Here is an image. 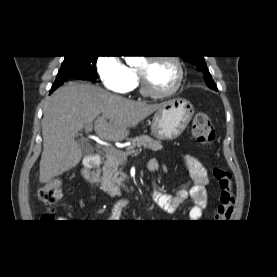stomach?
Here are the masks:
<instances>
[{"mask_svg": "<svg viewBox=\"0 0 277 277\" xmlns=\"http://www.w3.org/2000/svg\"><path fill=\"white\" fill-rule=\"evenodd\" d=\"M193 115V105L186 99L165 101L153 116L151 133L158 140H174L184 132Z\"/></svg>", "mask_w": 277, "mask_h": 277, "instance_id": "stomach-1", "label": "stomach"}]
</instances>
